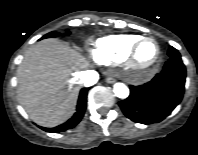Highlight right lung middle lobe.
<instances>
[{
	"instance_id": "right-lung-middle-lobe-1",
	"label": "right lung middle lobe",
	"mask_w": 198,
	"mask_h": 155,
	"mask_svg": "<svg viewBox=\"0 0 198 155\" xmlns=\"http://www.w3.org/2000/svg\"><path fill=\"white\" fill-rule=\"evenodd\" d=\"M65 35H69V33H66ZM56 36H57L56 32H50V33L46 34L45 36H43L42 39L50 38V37H56Z\"/></svg>"
}]
</instances>
